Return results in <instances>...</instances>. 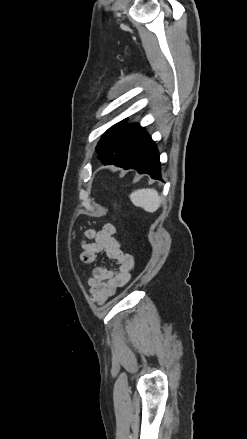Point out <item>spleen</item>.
<instances>
[{
  "label": "spleen",
  "mask_w": 247,
  "mask_h": 439,
  "mask_svg": "<svg viewBox=\"0 0 247 439\" xmlns=\"http://www.w3.org/2000/svg\"><path fill=\"white\" fill-rule=\"evenodd\" d=\"M129 197L134 206L143 208L149 213L155 212L162 201L158 192L150 188L135 190Z\"/></svg>",
  "instance_id": "obj_1"
}]
</instances>
